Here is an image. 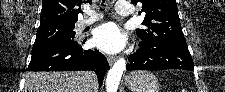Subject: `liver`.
<instances>
[{
    "instance_id": "obj_1",
    "label": "liver",
    "mask_w": 225,
    "mask_h": 92,
    "mask_svg": "<svg viewBox=\"0 0 225 92\" xmlns=\"http://www.w3.org/2000/svg\"><path fill=\"white\" fill-rule=\"evenodd\" d=\"M97 78L91 71L29 72L24 92H96Z\"/></svg>"
}]
</instances>
